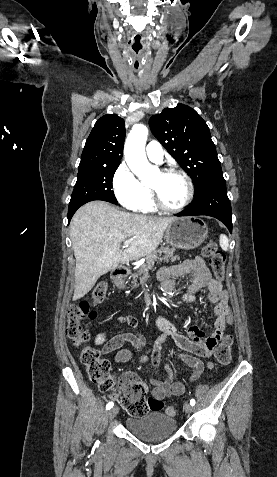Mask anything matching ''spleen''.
I'll return each instance as SVG.
<instances>
[{"label":"spleen","instance_id":"obj_1","mask_svg":"<svg viewBox=\"0 0 277 477\" xmlns=\"http://www.w3.org/2000/svg\"><path fill=\"white\" fill-rule=\"evenodd\" d=\"M219 243H220L221 248H222L224 251H227V250H228V248H229V239H228V237H227L225 234H221V235H220Z\"/></svg>","mask_w":277,"mask_h":477}]
</instances>
